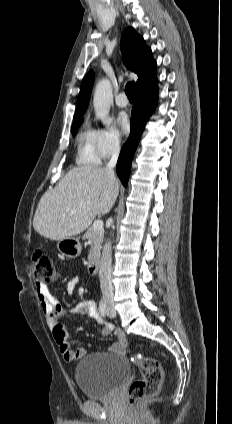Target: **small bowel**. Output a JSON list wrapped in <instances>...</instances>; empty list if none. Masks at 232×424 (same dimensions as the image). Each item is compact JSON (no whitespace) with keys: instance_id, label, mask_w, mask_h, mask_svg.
I'll use <instances>...</instances> for the list:
<instances>
[{"instance_id":"c3829d8e","label":"small bowel","mask_w":232,"mask_h":424,"mask_svg":"<svg viewBox=\"0 0 232 424\" xmlns=\"http://www.w3.org/2000/svg\"><path fill=\"white\" fill-rule=\"evenodd\" d=\"M80 281L81 279L78 277L72 278L66 285L67 292L73 294ZM35 290L42 313L47 320L54 341L58 345L59 351L66 361L74 362L81 359L86 355L87 350L83 347L74 348L70 345L68 341L67 325L62 320L63 317L88 316L103 325L100 332L102 336H108L112 333L113 326L104 321L94 300L84 299L70 308H64L57 303L55 296L46 284L35 282ZM114 333L116 341L110 345L109 350L115 354H124L127 350L126 335L121 330H115Z\"/></svg>"}]
</instances>
